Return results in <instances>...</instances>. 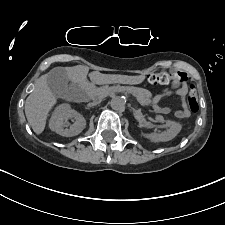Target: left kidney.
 Wrapping results in <instances>:
<instances>
[{"instance_id": "1", "label": "left kidney", "mask_w": 225, "mask_h": 225, "mask_svg": "<svg viewBox=\"0 0 225 225\" xmlns=\"http://www.w3.org/2000/svg\"><path fill=\"white\" fill-rule=\"evenodd\" d=\"M158 122H164V118L161 115L156 116ZM167 129L161 133L143 134V137L153 142H166L173 139L181 131L182 125L175 121H166Z\"/></svg>"}]
</instances>
